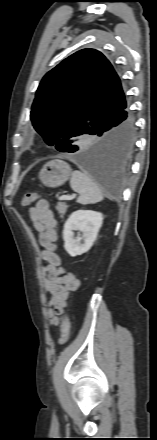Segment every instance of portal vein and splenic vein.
Returning a JSON list of instances; mask_svg holds the SVG:
<instances>
[{"label": "portal vein and splenic vein", "instance_id": "1", "mask_svg": "<svg viewBox=\"0 0 157 440\" xmlns=\"http://www.w3.org/2000/svg\"><path fill=\"white\" fill-rule=\"evenodd\" d=\"M75 197V195L73 196H69V195H62L59 200H71Z\"/></svg>", "mask_w": 157, "mask_h": 440}]
</instances>
